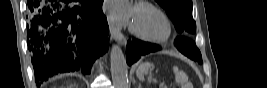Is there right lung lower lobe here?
Returning <instances> with one entry per match:
<instances>
[{
  "instance_id": "right-lung-lower-lobe-1",
  "label": "right lung lower lobe",
  "mask_w": 267,
  "mask_h": 88,
  "mask_svg": "<svg viewBox=\"0 0 267 88\" xmlns=\"http://www.w3.org/2000/svg\"><path fill=\"white\" fill-rule=\"evenodd\" d=\"M102 3L103 0L29 2L27 45L36 82L70 71L90 74L96 58L108 50L109 27Z\"/></svg>"
}]
</instances>
